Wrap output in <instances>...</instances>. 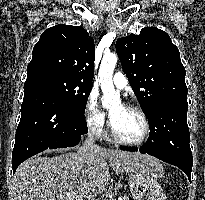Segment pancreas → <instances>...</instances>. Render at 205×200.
I'll return each instance as SVG.
<instances>
[{"label":"pancreas","instance_id":"pancreas-1","mask_svg":"<svg viewBox=\"0 0 205 200\" xmlns=\"http://www.w3.org/2000/svg\"><path fill=\"white\" fill-rule=\"evenodd\" d=\"M121 200H128L127 198H123V199H121Z\"/></svg>","mask_w":205,"mask_h":200}]
</instances>
